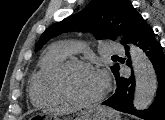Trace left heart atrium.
Listing matches in <instances>:
<instances>
[{
	"instance_id": "1",
	"label": "left heart atrium",
	"mask_w": 165,
	"mask_h": 120,
	"mask_svg": "<svg viewBox=\"0 0 165 120\" xmlns=\"http://www.w3.org/2000/svg\"><path fill=\"white\" fill-rule=\"evenodd\" d=\"M97 75H98V77H99V79H100L102 85L105 86V85H106V82H107V77H106V75L103 74V73H97Z\"/></svg>"
}]
</instances>
